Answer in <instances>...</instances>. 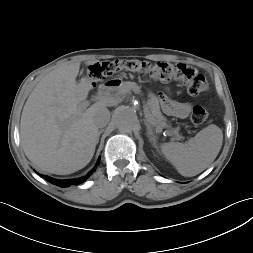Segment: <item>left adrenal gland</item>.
<instances>
[{
    "label": "left adrenal gland",
    "instance_id": "a2214340",
    "mask_svg": "<svg viewBox=\"0 0 253 253\" xmlns=\"http://www.w3.org/2000/svg\"><path fill=\"white\" fill-rule=\"evenodd\" d=\"M144 123H145V125H146V127H147V134L150 136V135H153V131H152V126H151V124L149 123V121L148 120H144Z\"/></svg>",
    "mask_w": 253,
    "mask_h": 253
}]
</instances>
